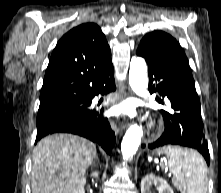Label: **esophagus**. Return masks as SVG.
<instances>
[{
	"label": "esophagus",
	"instance_id": "34e87169",
	"mask_svg": "<svg viewBox=\"0 0 221 193\" xmlns=\"http://www.w3.org/2000/svg\"><path fill=\"white\" fill-rule=\"evenodd\" d=\"M128 94H130V93H128ZM126 96V94L123 96H120L119 97V100H121V99H123L124 97ZM125 102L128 100L126 97L123 99ZM122 103H124V102H122V101H119V104H122ZM126 103H128V102H126ZM121 107V106H120ZM125 107H127V106H125ZM130 107V106H129ZM133 124L130 122V123H113V126H115V128L113 129L115 132L117 131V130H119L120 132H124L126 129L124 128V127H120L119 129H117L116 128V126H132Z\"/></svg>",
	"mask_w": 221,
	"mask_h": 193
}]
</instances>
